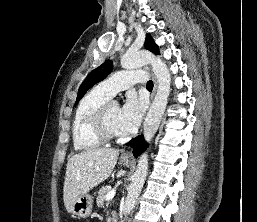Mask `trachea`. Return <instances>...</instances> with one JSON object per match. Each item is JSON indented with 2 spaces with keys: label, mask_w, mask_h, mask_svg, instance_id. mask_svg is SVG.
<instances>
[{
  "label": "trachea",
  "mask_w": 257,
  "mask_h": 222,
  "mask_svg": "<svg viewBox=\"0 0 257 222\" xmlns=\"http://www.w3.org/2000/svg\"><path fill=\"white\" fill-rule=\"evenodd\" d=\"M147 88H153V82L151 80L147 82Z\"/></svg>",
  "instance_id": "obj_1"
}]
</instances>
